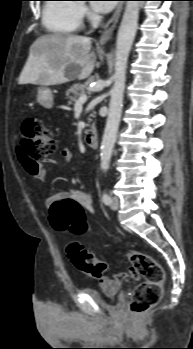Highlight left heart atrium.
Here are the masks:
<instances>
[{"label": "left heart atrium", "mask_w": 193, "mask_h": 349, "mask_svg": "<svg viewBox=\"0 0 193 349\" xmlns=\"http://www.w3.org/2000/svg\"><path fill=\"white\" fill-rule=\"evenodd\" d=\"M93 7L97 12L105 13V12H109L114 7V3L113 2H94Z\"/></svg>", "instance_id": "obj_1"}]
</instances>
